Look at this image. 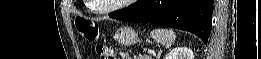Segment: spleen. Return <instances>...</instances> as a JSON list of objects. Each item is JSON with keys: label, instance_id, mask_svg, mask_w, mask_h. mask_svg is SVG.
<instances>
[{"label": "spleen", "instance_id": "spleen-1", "mask_svg": "<svg viewBox=\"0 0 261 59\" xmlns=\"http://www.w3.org/2000/svg\"><path fill=\"white\" fill-rule=\"evenodd\" d=\"M151 37L158 43L167 47L175 42L176 34L173 30L168 29H155L150 33Z\"/></svg>", "mask_w": 261, "mask_h": 59}]
</instances>
